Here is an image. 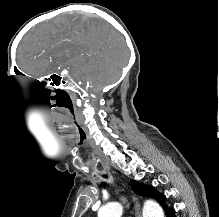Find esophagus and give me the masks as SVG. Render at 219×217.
<instances>
[{
	"instance_id": "34e87169",
	"label": "esophagus",
	"mask_w": 219,
	"mask_h": 217,
	"mask_svg": "<svg viewBox=\"0 0 219 217\" xmlns=\"http://www.w3.org/2000/svg\"><path fill=\"white\" fill-rule=\"evenodd\" d=\"M132 200L134 203V209H135V216L136 217H142L141 215V206L138 198L136 196H132Z\"/></svg>"
}]
</instances>
